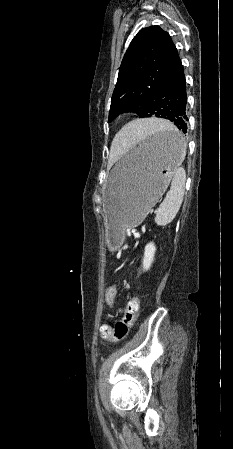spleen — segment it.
I'll return each instance as SVG.
<instances>
[{"mask_svg":"<svg viewBox=\"0 0 233 449\" xmlns=\"http://www.w3.org/2000/svg\"><path fill=\"white\" fill-rule=\"evenodd\" d=\"M177 131L172 127H168V125H147V131H144L141 134L140 138H144L145 140L149 139L150 134L153 133H167V131ZM134 139L132 137L130 142H126L122 145V147L117 152V155H121L128 151L132 145L134 144ZM183 156L186 152V143L184 139L181 141ZM185 181H186V173L182 167H177L173 173V178L171 182L170 190L167 192L165 199L159 206V212L155 217V223L159 226H166L171 223L178 213L181 204L183 202V197L185 193Z\"/></svg>","mask_w":233,"mask_h":449,"instance_id":"1","label":"spleen"}]
</instances>
